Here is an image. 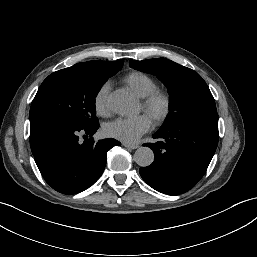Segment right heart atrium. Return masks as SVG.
I'll return each instance as SVG.
<instances>
[{
  "label": "right heart atrium",
  "mask_w": 257,
  "mask_h": 257,
  "mask_svg": "<svg viewBox=\"0 0 257 257\" xmlns=\"http://www.w3.org/2000/svg\"><path fill=\"white\" fill-rule=\"evenodd\" d=\"M111 82H105L97 91L94 97V107L99 115H106L109 112V92Z\"/></svg>",
  "instance_id": "d8ad5b80"
}]
</instances>
